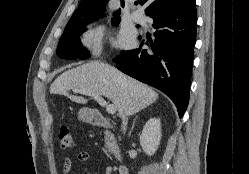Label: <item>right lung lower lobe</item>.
Wrapping results in <instances>:
<instances>
[{
    "label": "right lung lower lobe",
    "mask_w": 249,
    "mask_h": 174,
    "mask_svg": "<svg viewBox=\"0 0 249 174\" xmlns=\"http://www.w3.org/2000/svg\"><path fill=\"white\" fill-rule=\"evenodd\" d=\"M157 29L149 51H122L117 68L125 74L149 84L168 95L177 107L180 118L189 101L196 42V1L190 0L157 10L149 15ZM148 45V43H146Z\"/></svg>",
    "instance_id": "98d812e1"
}]
</instances>
